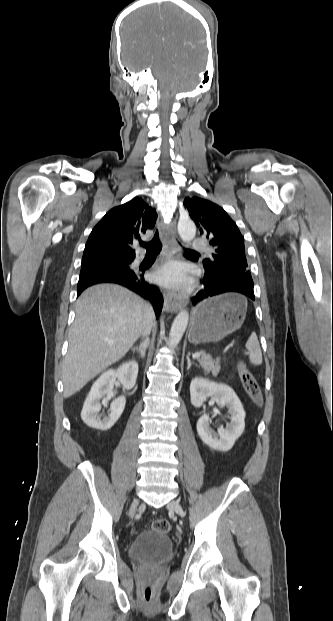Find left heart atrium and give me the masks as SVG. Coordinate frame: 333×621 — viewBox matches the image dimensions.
Segmentation results:
<instances>
[{
	"mask_svg": "<svg viewBox=\"0 0 333 621\" xmlns=\"http://www.w3.org/2000/svg\"><path fill=\"white\" fill-rule=\"evenodd\" d=\"M154 277L159 283L170 287H180L188 280L182 266L175 262L165 264Z\"/></svg>",
	"mask_w": 333,
	"mask_h": 621,
	"instance_id": "39dd6f15",
	"label": "left heart atrium"
}]
</instances>
